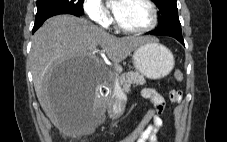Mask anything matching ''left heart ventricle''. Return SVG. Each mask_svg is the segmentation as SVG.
<instances>
[{
  "mask_svg": "<svg viewBox=\"0 0 227 142\" xmlns=\"http://www.w3.org/2000/svg\"><path fill=\"white\" fill-rule=\"evenodd\" d=\"M113 10L118 21L128 28H142L150 21V11L143 0H116Z\"/></svg>",
  "mask_w": 227,
  "mask_h": 142,
  "instance_id": "left-heart-ventricle-1",
  "label": "left heart ventricle"
}]
</instances>
